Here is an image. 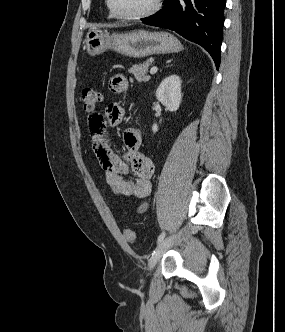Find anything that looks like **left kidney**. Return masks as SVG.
I'll return each instance as SVG.
<instances>
[{"label":"left kidney","mask_w":285,"mask_h":332,"mask_svg":"<svg viewBox=\"0 0 285 332\" xmlns=\"http://www.w3.org/2000/svg\"><path fill=\"white\" fill-rule=\"evenodd\" d=\"M181 79L178 75L166 77L156 91L158 101L163 104L170 112L177 111L182 101ZM152 131H158L157 124H153Z\"/></svg>","instance_id":"5707ae66"}]
</instances>
